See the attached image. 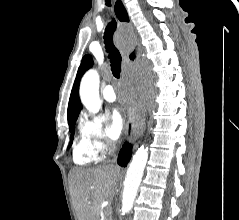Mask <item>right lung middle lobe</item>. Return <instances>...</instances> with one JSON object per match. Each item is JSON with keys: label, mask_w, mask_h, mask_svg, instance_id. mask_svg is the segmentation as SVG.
<instances>
[{"label": "right lung middle lobe", "mask_w": 239, "mask_h": 220, "mask_svg": "<svg viewBox=\"0 0 239 220\" xmlns=\"http://www.w3.org/2000/svg\"><path fill=\"white\" fill-rule=\"evenodd\" d=\"M76 120H77V119L72 120L71 122H68V123H69V127H70V132L74 129ZM73 135H74V134L71 135V139H70L71 143L73 142Z\"/></svg>", "instance_id": "obj_1"}]
</instances>
